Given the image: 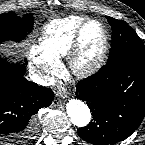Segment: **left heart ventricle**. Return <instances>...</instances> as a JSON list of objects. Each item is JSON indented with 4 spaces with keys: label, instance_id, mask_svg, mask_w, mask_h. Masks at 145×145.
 <instances>
[{
    "label": "left heart ventricle",
    "instance_id": "1",
    "mask_svg": "<svg viewBox=\"0 0 145 145\" xmlns=\"http://www.w3.org/2000/svg\"><path fill=\"white\" fill-rule=\"evenodd\" d=\"M82 42V62H92L98 57L103 44V34L100 26L95 23L88 25L84 31Z\"/></svg>",
    "mask_w": 145,
    "mask_h": 145
}]
</instances>
